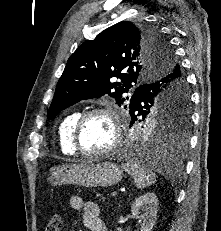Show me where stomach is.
<instances>
[{
	"instance_id": "0dacf381",
	"label": "stomach",
	"mask_w": 221,
	"mask_h": 231,
	"mask_svg": "<svg viewBox=\"0 0 221 231\" xmlns=\"http://www.w3.org/2000/svg\"><path fill=\"white\" fill-rule=\"evenodd\" d=\"M122 176V170L115 163L85 162L52 167L47 181L53 186L75 184L87 188L110 187L118 184L122 180Z\"/></svg>"
}]
</instances>
